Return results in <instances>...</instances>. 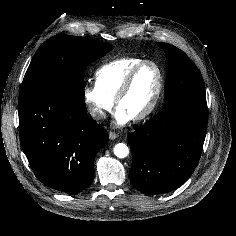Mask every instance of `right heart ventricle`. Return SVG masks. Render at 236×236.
<instances>
[{"instance_id":"1","label":"right heart ventricle","mask_w":236,"mask_h":236,"mask_svg":"<svg viewBox=\"0 0 236 236\" xmlns=\"http://www.w3.org/2000/svg\"><path fill=\"white\" fill-rule=\"evenodd\" d=\"M144 61L139 57H124L110 61L97 69L95 82L112 100L115 97L128 73Z\"/></svg>"}]
</instances>
